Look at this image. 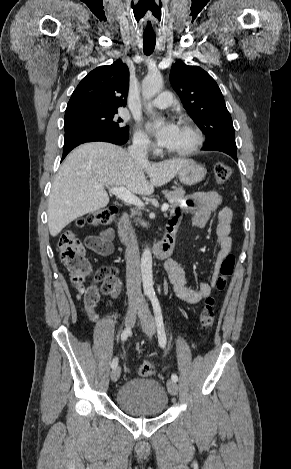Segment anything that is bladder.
Wrapping results in <instances>:
<instances>
[{"instance_id": "bladder-1", "label": "bladder", "mask_w": 291, "mask_h": 469, "mask_svg": "<svg viewBox=\"0 0 291 469\" xmlns=\"http://www.w3.org/2000/svg\"><path fill=\"white\" fill-rule=\"evenodd\" d=\"M168 395L155 379L132 377L117 391L116 403L125 413L134 416H158L168 406Z\"/></svg>"}]
</instances>
